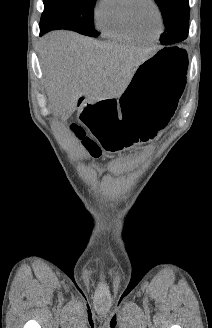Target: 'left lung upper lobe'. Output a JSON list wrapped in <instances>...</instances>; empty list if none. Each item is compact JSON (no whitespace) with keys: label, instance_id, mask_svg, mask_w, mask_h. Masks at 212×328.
Segmentation results:
<instances>
[{"label":"left lung upper lobe","instance_id":"left-lung-upper-lobe-1","mask_svg":"<svg viewBox=\"0 0 212 328\" xmlns=\"http://www.w3.org/2000/svg\"><path fill=\"white\" fill-rule=\"evenodd\" d=\"M161 10L166 31L160 42L164 45L183 41L188 36L189 0H155Z\"/></svg>","mask_w":212,"mask_h":328}]
</instances>
